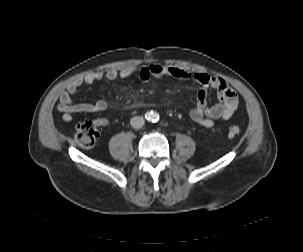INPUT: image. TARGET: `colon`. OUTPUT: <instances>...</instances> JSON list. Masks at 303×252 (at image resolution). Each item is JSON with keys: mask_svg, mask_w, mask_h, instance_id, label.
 Listing matches in <instances>:
<instances>
[{"mask_svg": "<svg viewBox=\"0 0 303 252\" xmlns=\"http://www.w3.org/2000/svg\"><path fill=\"white\" fill-rule=\"evenodd\" d=\"M241 133L239 126L232 125L227 128V136L234 138ZM99 138V131L94 121L81 122L76 127V140L83 148L93 147Z\"/></svg>", "mask_w": 303, "mask_h": 252, "instance_id": "1", "label": "colon"}]
</instances>
